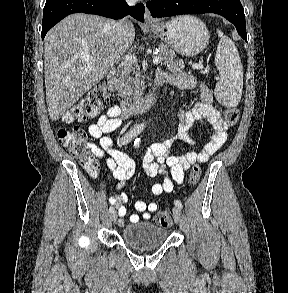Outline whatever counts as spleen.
Masks as SVG:
<instances>
[{"label": "spleen", "mask_w": 288, "mask_h": 293, "mask_svg": "<svg viewBox=\"0 0 288 293\" xmlns=\"http://www.w3.org/2000/svg\"><path fill=\"white\" fill-rule=\"evenodd\" d=\"M220 38L215 55V65L219 70L214 95L226 107H235L240 102L243 89V67L238 50L233 41L217 29Z\"/></svg>", "instance_id": "3e777b00"}]
</instances>
